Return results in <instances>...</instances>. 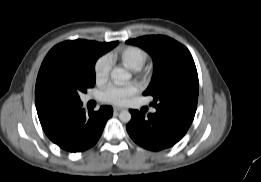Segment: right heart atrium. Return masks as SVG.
<instances>
[{"label": "right heart atrium", "instance_id": "obj_1", "mask_svg": "<svg viewBox=\"0 0 261 182\" xmlns=\"http://www.w3.org/2000/svg\"><path fill=\"white\" fill-rule=\"evenodd\" d=\"M111 61L107 55L101 56L95 63L94 75L98 83L104 82L109 77Z\"/></svg>", "mask_w": 261, "mask_h": 182}]
</instances>
